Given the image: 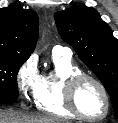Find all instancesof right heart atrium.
<instances>
[{"mask_svg":"<svg viewBox=\"0 0 118 123\" xmlns=\"http://www.w3.org/2000/svg\"><path fill=\"white\" fill-rule=\"evenodd\" d=\"M39 81L40 73L37 60L31 56L20 65L16 73V83L20 96L27 100L34 98Z\"/></svg>","mask_w":118,"mask_h":123,"instance_id":"obj_1","label":"right heart atrium"}]
</instances>
